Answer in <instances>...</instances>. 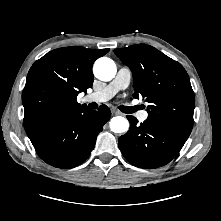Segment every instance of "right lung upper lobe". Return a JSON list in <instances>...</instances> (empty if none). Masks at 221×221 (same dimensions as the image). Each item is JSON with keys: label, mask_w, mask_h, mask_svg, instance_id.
I'll return each mask as SVG.
<instances>
[{"label": "right lung upper lobe", "mask_w": 221, "mask_h": 221, "mask_svg": "<svg viewBox=\"0 0 221 221\" xmlns=\"http://www.w3.org/2000/svg\"><path fill=\"white\" fill-rule=\"evenodd\" d=\"M108 51L72 46L55 49L37 60L22 93L25 130L85 106L77 102V95L92 87L93 63Z\"/></svg>", "instance_id": "right-lung-upper-lobe-1"}]
</instances>
